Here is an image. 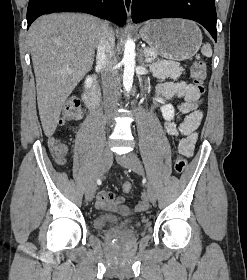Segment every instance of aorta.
<instances>
[{"label":"aorta","mask_w":247,"mask_h":280,"mask_svg":"<svg viewBox=\"0 0 247 280\" xmlns=\"http://www.w3.org/2000/svg\"><path fill=\"white\" fill-rule=\"evenodd\" d=\"M124 74L123 86L124 90L129 93L133 84L134 68H135V44L130 38L125 43L124 55Z\"/></svg>","instance_id":"1"}]
</instances>
